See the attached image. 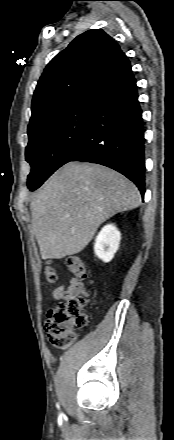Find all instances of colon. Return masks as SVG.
<instances>
[{"label":"colon","instance_id":"5ec220e1","mask_svg":"<svg viewBox=\"0 0 174 440\" xmlns=\"http://www.w3.org/2000/svg\"><path fill=\"white\" fill-rule=\"evenodd\" d=\"M69 271L77 278L86 280L89 277L86 265L78 255H70L66 258ZM45 277L49 283L57 280V274L51 266L45 269ZM89 294L69 299L52 306L47 314L44 327L50 344L58 349L69 347L74 341V331L82 329L87 324V317L83 311L84 304Z\"/></svg>","mask_w":174,"mask_h":440}]
</instances>
